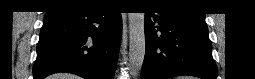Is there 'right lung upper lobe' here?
Returning a JSON list of instances; mask_svg holds the SVG:
<instances>
[{
	"label": "right lung upper lobe",
	"mask_w": 255,
	"mask_h": 79,
	"mask_svg": "<svg viewBox=\"0 0 255 79\" xmlns=\"http://www.w3.org/2000/svg\"><path fill=\"white\" fill-rule=\"evenodd\" d=\"M94 6H96V4H91L87 1L61 0L55 1L47 13L67 8H89Z\"/></svg>",
	"instance_id": "obj_1"
}]
</instances>
